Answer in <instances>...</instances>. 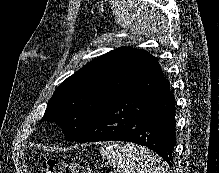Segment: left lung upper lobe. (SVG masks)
Listing matches in <instances>:
<instances>
[{"mask_svg": "<svg viewBox=\"0 0 219 173\" xmlns=\"http://www.w3.org/2000/svg\"><path fill=\"white\" fill-rule=\"evenodd\" d=\"M150 56L140 49L121 47L95 58L57 87L41 121L55 122L66 140L75 141L138 79Z\"/></svg>", "mask_w": 219, "mask_h": 173, "instance_id": "left-lung-upper-lobe-1", "label": "left lung upper lobe"}]
</instances>
